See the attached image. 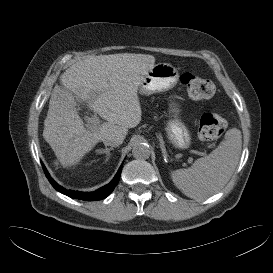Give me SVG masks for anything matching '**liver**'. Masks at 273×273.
I'll return each mask as SVG.
<instances>
[{
    "mask_svg": "<svg viewBox=\"0 0 273 273\" xmlns=\"http://www.w3.org/2000/svg\"><path fill=\"white\" fill-rule=\"evenodd\" d=\"M154 64L155 57L146 54L88 56L62 74L61 86L52 91L43 130L44 139L62 165L78 164L105 138L123 142L128 128L141 121L138 89ZM76 101L105 122L95 131L86 129Z\"/></svg>",
    "mask_w": 273,
    "mask_h": 273,
    "instance_id": "6515ba94",
    "label": "liver"
}]
</instances>
